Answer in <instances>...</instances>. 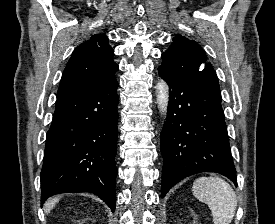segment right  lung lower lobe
I'll return each mask as SVG.
<instances>
[{
	"mask_svg": "<svg viewBox=\"0 0 275 224\" xmlns=\"http://www.w3.org/2000/svg\"><path fill=\"white\" fill-rule=\"evenodd\" d=\"M118 82L58 98L47 132L41 203L68 192L98 195L114 212Z\"/></svg>",
	"mask_w": 275,
	"mask_h": 224,
	"instance_id": "98d812e1",
	"label": "right lung lower lobe"
}]
</instances>
